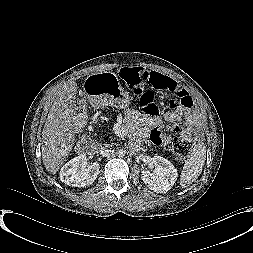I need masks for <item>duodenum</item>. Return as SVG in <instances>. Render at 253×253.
<instances>
[{
    "label": "duodenum",
    "instance_id": "410a0bca",
    "mask_svg": "<svg viewBox=\"0 0 253 253\" xmlns=\"http://www.w3.org/2000/svg\"><path fill=\"white\" fill-rule=\"evenodd\" d=\"M78 151L81 154L91 155L95 154L98 148L89 139L84 138L78 143Z\"/></svg>",
    "mask_w": 253,
    "mask_h": 253
}]
</instances>
